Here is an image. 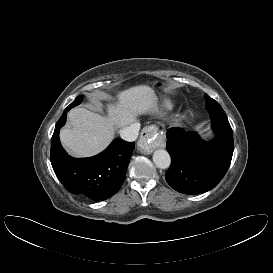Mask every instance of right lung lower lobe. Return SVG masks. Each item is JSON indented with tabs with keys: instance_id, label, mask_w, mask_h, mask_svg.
Segmentation results:
<instances>
[{
	"instance_id": "1",
	"label": "right lung lower lobe",
	"mask_w": 273,
	"mask_h": 273,
	"mask_svg": "<svg viewBox=\"0 0 273 273\" xmlns=\"http://www.w3.org/2000/svg\"><path fill=\"white\" fill-rule=\"evenodd\" d=\"M66 108L55 126L51 139V164L53 170L72 194L85 195L102 201L116 194L121 188L134 150L135 142L115 139L102 153L89 158H73L63 149L59 130L65 124Z\"/></svg>"
}]
</instances>
